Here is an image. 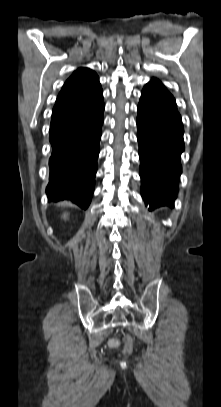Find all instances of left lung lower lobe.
Segmentation results:
<instances>
[{"mask_svg": "<svg viewBox=\"0 0 221 407\" xmlns=\"http://www.w3.org/2000/svg\"><path fill=\"white\" fill-rule=\"evenodd\" d=\"M137 127L143 200L150 209L173 206L182 173L184 130L174 97L155 78L142 90Z\"/></svg>", "mask_w": 221, "mask_h": 407, "instance_id": "0a47b994", "label": "left lung lower lobe"}]
</instances>
